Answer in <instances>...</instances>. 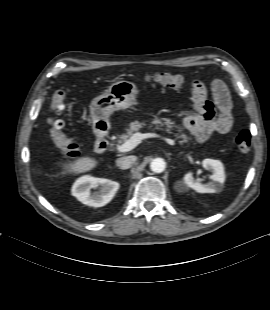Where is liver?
<instances>
[{
    "label": "liver",
    "instance_id": "liver-1",
    "mask_svg": "<svg viewBox=\"0 0 270 310\" xmlns=\"http://www.w3.org/2000/svg\"><path fill=\"white\" fill-rule=\"evenodd\" d=\"M98 162L91 157L83 156L73 162L62 163L63 174H79L92 170Z\"/></svg>",
    "mask_w": 270,
    "mask_h": 310
}]
</instances>
